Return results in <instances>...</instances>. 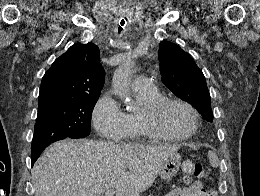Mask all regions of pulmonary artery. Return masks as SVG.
I'll use <instances>...</instances> for the list:
<instances>
[{"instance_id":"pulmonary-artery-1","label":"pulmonary artery","mask_w":260,"mask_h":196,"mask_svg":"<svg viewBox=\"0 0 260 196\" xmlns=\"http://www.w3.org/2000/svg\"><path fill=\"white\" fill-rule=\"evenodd\" d=\"M149 80L148 79H137L136 82L133 83V86L136 88H145L147 86H142L140 84H148Z\"/></svg>"}]
</instances>
